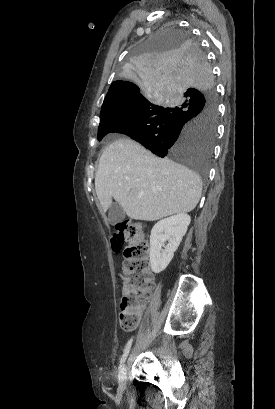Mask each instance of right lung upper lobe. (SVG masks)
<instances>
[{
	"label": "right lung upper lobe",
	"mask_w": 275,
	"mask_h": 409,
	"mask_svg": "<svg viewBox=\"0 0 275 409\" xmlns=\"http://www.w3.org/2000/svg\"><path fill=\"white\" fill-rule=\"evenodd\" d=\"M143 93L144 90H138L137 85H127L126 81H114L104 99L101 112L111 109L124 99L142 96Z\"/></svg>",
	"instance_id": "obj_1"
}]
</instances>
